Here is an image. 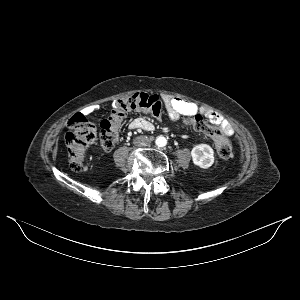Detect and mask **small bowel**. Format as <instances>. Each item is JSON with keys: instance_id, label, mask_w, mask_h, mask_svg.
Segmentation results:
<instances>
[{"instance_id": "1", "label": "small bowel", "mask_w": 300, "mask_h": 300, "mask_svg": "<svg viewBox=\"0 0 300 300\" xmlns=\"http://www.w3.org/2000/svg\"><path fill=\"white\" fill-rule=\"evenodd\" d=\"M163 100L167 108L168 116L172 120L177 119L180 115L191 116L195 114H203L212 124L218 126L225 136H231L234 133L232 125L219 113L211 110L210 108L199 106L194 102L169 95L164 96ZM94 110L95 109L93 107H87L83 110L81 115L89 116L94 112ZM130 127L145 131H151L153 129L152 123L142 117L134 119L130 123Z\"/></svg>"}]
</instances>
